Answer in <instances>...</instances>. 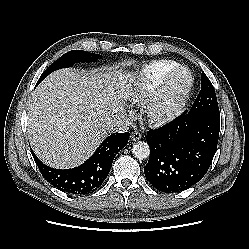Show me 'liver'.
<instances>
[{
    "label": "liver",
    "mask_w": 249,
    "mask_h": 249,
    "mask_svg": "<svg viewBox=\"0 0 249 249\" xmlns=\"http://www.w3.org/2000/svg\"><path fill=\"white\" fill-rule=\"evenodd\" d=\"M132 75L61 69L36 88L28 105V136L38 158L54 168L86 161L124 116Z\"/></svg>",
    "instance_id": "obj_1"
}]
</instances>
